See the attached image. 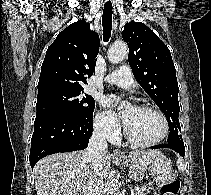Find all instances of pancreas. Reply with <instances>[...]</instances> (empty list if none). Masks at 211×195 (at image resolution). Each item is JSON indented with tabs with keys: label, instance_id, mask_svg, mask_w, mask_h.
Wrapping results in <instances>:
<instances>
[{
	"label": "pancreas",
	"instance_id": "cf45deb5",
	"mask_svg": "<svg viewBox=\"0 0 211 195\" xmlns=\"http://www.w3.org/2000/svg\"><path fill=\"white\" fill-rule=\"evenodd\" d=\"M150 189H152V187L149 186L136 187L134 190L135 195H147L150 192Z\"/></svg>",
	"mask_w": 211,
	"mask_h": 195
}]
</instances>
